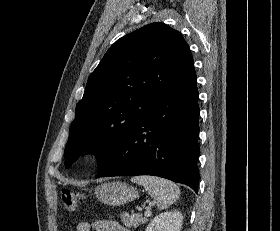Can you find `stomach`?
I'll return each instance as SVG.
<instances>
[{
    "label": "stomach",
    "mask_w": 280,
    "mask_h": 231,
    "mask_svg": "<svg viewBox=\"0 0 280 231\" xmlns=\"http://www.w3.org/2000/svg\"><path fill=\"white\" fill-rule=\"evenodd\" d=\"M94 193L99 201H103L107 205H123V203L133 201L139 195L135 187L127 185V183H121V181L101 183V185L95 187Z\"/></svg>",
    "instance_id": "0dacf381"
}]
</instances>
